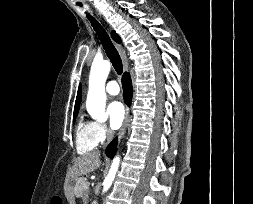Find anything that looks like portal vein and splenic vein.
<instances>
[{"instance_id": "18ae733b", "label": "portal vein and splenic vein", "mask_w": 253, "mask_h": 204, "mask_svg": "<svg viewBox=\"0 0 253 204\" xmlns=\"http://www.w3.org/2000/svg\"><path fill=\"white\" fill-rule=\"evenodd\" d=\"M89 185H90V183L87 182V183H85L84 187H85V188H89Z\"/></svg>"}]
</instances>
